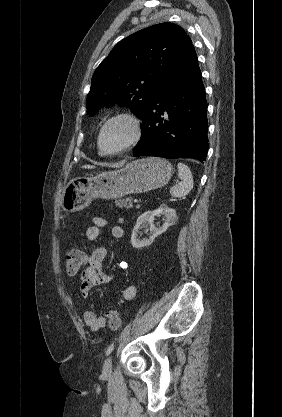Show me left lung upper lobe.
<instances>
[{"mask_svg":"<svg viewBox=\"0 0 282 417\" xmlns=\"http://www.w3.org/2000/svg\"><path fill=\"white\" fill-rule=\"evenodd\" d=\"M192 44L173 23L142 29L122 41L95 70L87 96V114L119 103L143 119L145 110L173 63Z\"/></svg>","mask_w":282,"mask_h":417,"instance_id":"1","label":"left lung upper lobe"}]
</instances>
